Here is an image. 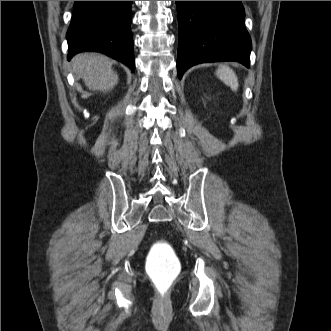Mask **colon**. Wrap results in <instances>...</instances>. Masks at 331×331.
I'll return each mask as SVG.
<instances>
[{
  "label": "colon",
  "mask_w": 331,
  "mask_h": 331,
  "mask_svg": "<svg viewBox=\"0 0 331 331\" xmlns=\"http://www.w3.org/2000/svg\"><path fill=\"white\" fill-rule=\"evenodd\" d=\"M146 271L161 297H166L181 272L180 262L165 241L153 244L146 261Z\"/></svg>",
  "instance_id": "colon-1"
}]
</instances>
